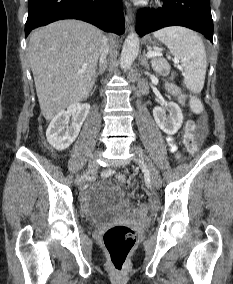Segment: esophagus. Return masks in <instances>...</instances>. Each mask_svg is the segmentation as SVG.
Masks as SVG:
<instances>
[{"label":"esophagus","mask_w":233,"mask_h":284,"mask_svg":"<svg viewBox=\"0 0 233 284\" xmlns=\"http://www.w3.org/2000/svg\"><path fill=\"white\" fill-rule=\"evenodd\" d=\"M126 8H127V16H126V21L129 26V29H133V23L135 19V10L131 7L129 3H126Z\"/></svg>","instance_id":"obj_1"}]
</instances>
